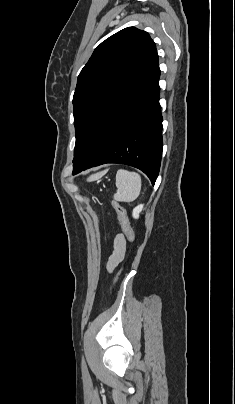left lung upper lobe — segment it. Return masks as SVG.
Returning a JSON list of instances; mask_svg holds the SVG:
<instances>
[{
	"label": "left lung upper lobe",
	"mask_w": 235,
	"mask_h": 404,
	"mask_svg": "<svg viewBox=\"0 0 235 404\" xmlns=\"http://www.w3.org/2000/svg\"><path fill=\"white\" fill-rule=\"evenodd\" d=\"M158 67L149 34L125 28L103 41L80 72L73 96L76 145L73 162L86 151L116 108Z\"/></svg>",
	"instance_id": "obj_1"
}]
</instances>
